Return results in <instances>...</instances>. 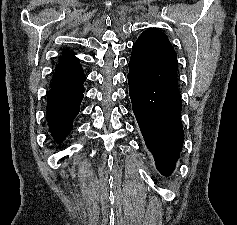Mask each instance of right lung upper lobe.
Listing matches in <instances>:
<instances>
[{"label": "right lung upper lobe", "mask_w": 237, "mask_h": 225, "mask_svg": "<svg viewBox=\"0 0 237 225\" xmlns=\"http://www.w3.org/2000/svg\"><path fill=\"white\" fill-rule=\"evenodd\" d=\"M62 55L55 68L51 86L69 87L83 83L86 77L75 53L64 50Z\"/></svg>", "instance_id": "obj_1"}]
</instances>
